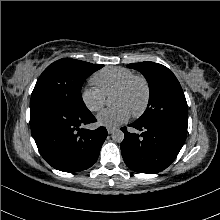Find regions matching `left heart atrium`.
I'll return each mask as SVG.
<instances>
[{
	"instance_id": "1",
	"label": "left heart atrium",
	"mask_w": 220,
	"mask_h": 220,
	"mask_svg": "<svg viewBox=\"0 0 220 220\" xmlns=\"http://www.w3.org/2000/svg\"><path fill=\"white\" fill-rule=\"evenodd\" d=\"M131 116V112L123 105L103 110L98 116L97 121L100 125L115 127L126 122Z\"/></svg>"
}]
</instances>
